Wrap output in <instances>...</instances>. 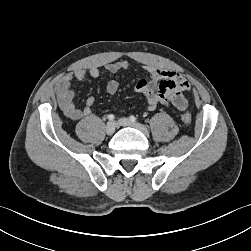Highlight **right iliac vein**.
<instances>
[{
	"mask_svg": "<svg viewBox=\"0 0 251 251\" xmlns=\"http://www.w3.org/2000/svg\"><path fill=\"white\" fill-rule=\"evenodd\" d=\"M116 130V125L114 122H108L107 125H106V128H105V131L108 135H112L114 134Z\"/></svg>",
	"mask_w": 251,
	"mask_h": 251,
	"instance_id": "right-iliac-vein-1",
	"label": "right iliac vein"
}]
</instances>
